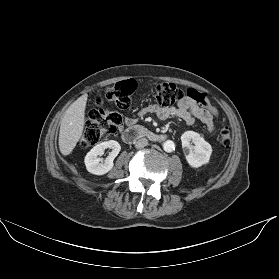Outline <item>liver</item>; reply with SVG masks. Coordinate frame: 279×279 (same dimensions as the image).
<instances>
[{
    "label": "liver",
    "instance_id": "obj_1",
    "mask_svg": "<svg viewBox=\"0 0 279 279\" xmlns=\"http://www.w3.org/2000/svg\"><path fill=\"white\" fill-rule=\"evenodd\" d=\"M87 98L85 93L74 101L60 121L59 149L64 156L73 151L83 134Z\"/></svg>",
    "mask_w": 279,
    "mask_h": 279
}]
</instances>
